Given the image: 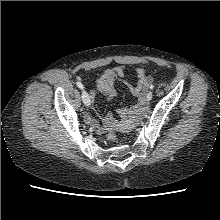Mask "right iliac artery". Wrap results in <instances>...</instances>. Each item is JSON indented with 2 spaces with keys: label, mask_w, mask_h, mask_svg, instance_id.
Returning <instances> with one entry per match:
<instances>
[{
  "label": "right iliac artery",
  "mask_w": 220,
  "mask_h": 220,
  "mask_svg": "<svg viewBox=\"0 0 220 220\" xmlns=\"http://www.w3.org/2000/svg\"><path fill=\"white\" fill-rule=\"evenodd\" d=\"M76 84H77V86H78L80 89H83V88H84L81 82L77 81Z\"/></svg>",
  "instance_id": "right-iliac-artery-1"
}]
</instances>
